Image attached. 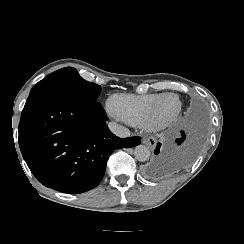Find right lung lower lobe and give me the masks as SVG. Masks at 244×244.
<instances>
[{
	"instance_id": "obj_1",
	"label": "right lung lower lobe",
	"mask_w": 244,
	"mask_h": 244,
	"mask_svg": "<svg viewBox=\"0 0 244 244\" xmlns=\"http://www.w3.org/2000/svg\"><path fill=\"white\" fill-rule=\"evenodd\" d=\"M107 120L97 101L52 93L29 95L19 123V146L33 175L64 193L94 188L112 152L141 141L137 136H115Z\"/></svg>"
}]
</instances>
